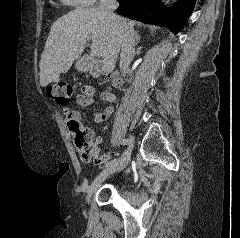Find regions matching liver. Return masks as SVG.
Instances as JSON below:
<instances>
[{
	"label": "liver",
	"instance_id": "6515ba94",
	"mask_svg": "<svg viewBox=\"0 0 240 238\" xmlns=\"http://www.w3.org/2000/svg\"><path fill=\"white\" fill-rule=\"evenodd\" d=\"M128 25L132 22L124 19ZM121 29L97 8H78L55 21L41 55L40 84L57 83L73 62L81 56L84 45L92 40L91 50L114 63L121 47Z\"/></svg>",
	"mask_w": 240,
	"mask_h": 238
}]
</instances>
